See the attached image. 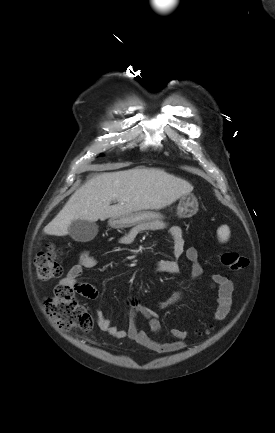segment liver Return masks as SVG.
Here are the masks:
<instances>
[{
  "mask_svg": "<svg viewBox=\"0 0 275 433\" xmlns=\"http://www.w3.org/2000/svg\"><path fill=\"white\" fill-rule=\"evenodd\" d=\"M192 190L193 186L187 181L160 169L135 168L98 174L75 191L43 231L48 235L65 236L72 221H104L159 209ZM112 201L118 204L111 206Z\"/></svg>",
  "mask_w": 275,
  "mask_h": 433,
  "instance_id": "obj_1",
  "label": "liver"
}]
</instances>
